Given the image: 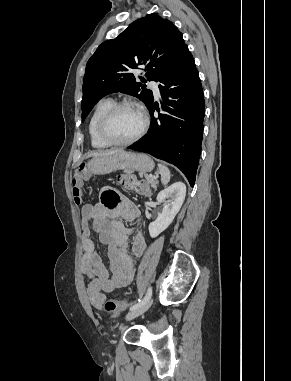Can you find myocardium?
<instances>
[{
    "instance_id": "f54148a6",
    "label": "myocardium",
    "mask_w": 291,
    "mask_h": 381,
    "mask_svg": "<svg viewBox=\"0 0 291 381\" xmlns=\"http://www.w3.org/2000/svg\"><path fill=\"white\" fill-rule=\"evenodd\" d=\"M127 107H131V108H135L139 110L143 119L142 126L139 132L134 137L128 140H123V141L116 140L113 137H111V135L108 133L107 125L110 119L115 115V113H117L120 109L127 108ZM148 127H149V118L144 108L133 101L125 100V101H121V102L113 104L101 116L98 122V133H99V136L111 146H127L139 141L147 132Z\"/></svg>"
}]
</instances>
